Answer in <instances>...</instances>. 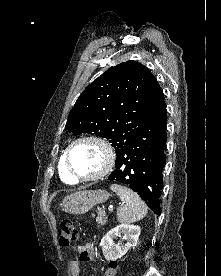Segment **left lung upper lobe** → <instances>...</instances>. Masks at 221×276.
Listing matches in <instances>:
<instances>
[{"mask_svg": "<svg viewBox=\"0 0 221 276\" xmlns=\"http://www.w3.org/2000/svg\"><path fill=\"white\" fill-rule=\"evenodd\" d=\"M165 105L154 75L130 60L110 67L86 87L65 128L75 135L89 133L106 138L117 153Z\"/></svg>", "mask_w": 221, "mask_h": 276, "instance_id": "1", "label": "left lung upper lobe"}]
</instances>
